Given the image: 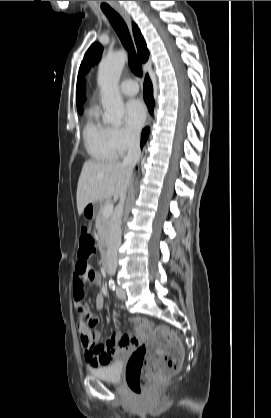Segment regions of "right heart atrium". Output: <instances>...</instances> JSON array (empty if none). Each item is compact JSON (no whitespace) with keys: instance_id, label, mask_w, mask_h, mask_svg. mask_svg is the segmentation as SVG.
I'll return each instance as SVG.
<instances>
[{"instance_id":"right-heart-atrium-1","label":"right heart atrium","mask_w":271,"mask_h":418,"mask_svg":"<svg viewBox=\"0 0 271 418\" xmlns=\"http://www.w3.org/2000/svg\"><path fill=\"white\" fill-rule=\"evenodd\" d=\"M111 142L117 154H124L136 147L138 137L128 128L116 126L111 128Z\"/></svg>"}]
</instances>
